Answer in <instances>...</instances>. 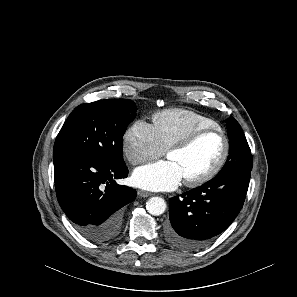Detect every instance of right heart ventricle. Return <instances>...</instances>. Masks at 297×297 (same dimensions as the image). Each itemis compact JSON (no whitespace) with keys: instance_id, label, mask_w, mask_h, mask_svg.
<instances>
[{"instance_id":"1","label":"right heart ventricle","mask_w":297,"mask_h":297,"mask_svg":"<svg viewBox=\"0 0 297 297\" xmlns=\"http://www.w3.org/2000/svg\"><path fill=\"white\" fill-rule=\"evenodd\" d=\"M157 139L166 150L174 142L198 128L217 127L209 118L187 110H167L153 117Z\"/></svg>"}]
</instances>
